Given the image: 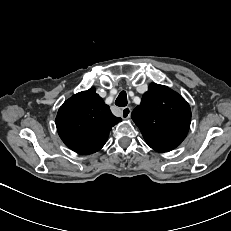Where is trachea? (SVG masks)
<instances>
[{
    "instance_id": "obj_1",
    "label": "trachea",
    "mask_w": 231,
    "mask_h": 231,
    "mask_svg": "<svg viewBox=\"0 0 231 231\" xmlns=\"http://www.w3.org/2000/svg\"><path fill=\"white\" fill-rule=\"evenodd\" d=\"M115 104L119 107H125L127 105V94L125 91L120 92L115 101Z\"/></svg>"
}]
</instances>
